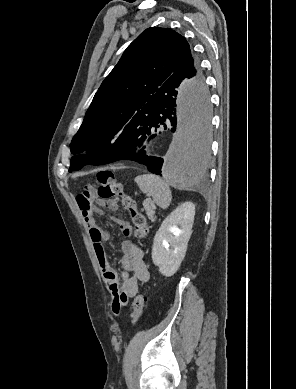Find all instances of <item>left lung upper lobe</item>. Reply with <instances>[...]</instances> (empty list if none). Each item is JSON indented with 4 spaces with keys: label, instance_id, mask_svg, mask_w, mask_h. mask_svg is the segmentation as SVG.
Instances as JSON below:
<instances>
[{
    "label": "left lung upper lobe",
    "instance_id": "1",
    "mask_svg": "<svg viewBox=\"0 0 296 389\" xmlns=\"http://www.w3.org/2000/svg\"><path fill=\"white\" fill-rule=\"evenodd\" d=\"M175 75L203 78L189 44L169 28L146 29L127 47L95 94L70 144L71 153L87 150V154L72 157L69 172L99 165L100 152L136 114L151 108L155 93Z\"/></svg>",
    "mask_w": 296,
    "mask_h": 389
}]
</instances>
